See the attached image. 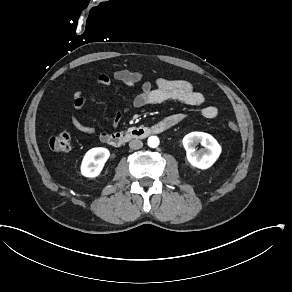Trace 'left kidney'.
<instances>
[{
    "label": "left kidney",
    "instance_id": "obj_1",
    "mask_svg": "<svg viewBox=\"0 0 292 292\" xmlns=\"http://www.w3.org/2000/svg\"><path fill=\"white\" fill-rule=\"evenodd\" d=\"M201 143L205 148L196 152L194 146ZM186 150L188 163L197 169L207 170L214 165L222 153V147L210 134L204 132H191L182 140Z\"/></svg>",
    "mask_w": 292,
    "mask_h": 292
}]
</instances>
